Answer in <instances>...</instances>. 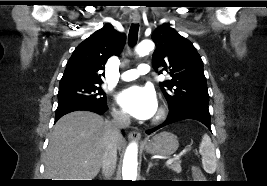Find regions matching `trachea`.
I'll return each mask as SVG.
<instances>
[{"mask_svg": "<svg viewBox=\"0 0 267 186\" xmlns=\"http://www.w3.org/2000/svg\"><path fill=\"white\" fill-rule=\"evenodd\" d=\"M139 25H131L128 35V44L130 47H134L138 39Z\"/></svg>", "mask_w": 267, "mask_h": 186, "instance_id": "1", "label": "trachea"}]
</instances>
